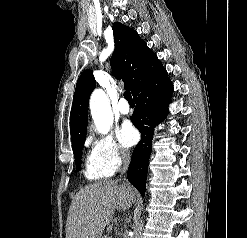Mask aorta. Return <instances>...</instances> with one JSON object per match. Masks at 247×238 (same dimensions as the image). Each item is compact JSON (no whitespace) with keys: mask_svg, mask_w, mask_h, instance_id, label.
<instances>
[{"mask_svg":"<svg viewBox=\"0 0 247 238\" xmlns=\"http://www.w3.org/2000/svg\"><path fill=\"white\" fill-rule=\"evenodd\" d=\"M90 110L93 121L100 134H107L113 124L110 102L101 89L95 90L90 98Z\"/></svg>","mask_w":247,"mask_h":238,"instance_id":"762f6f07","label":"aorta"}]
</instances>
